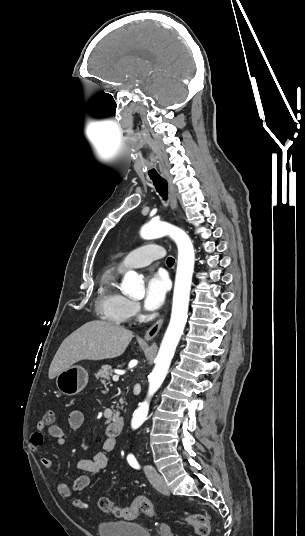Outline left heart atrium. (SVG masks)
<instances>
[{
    "instance_id": "left-heart-atrium-1",
    "label": "left heart atrium",
    "mask_w": 305,
    "mask_h": 536,
    "mask_svg": "<svg viewBox=\"0 0 305 536\" xmlns=\"http://www.w3.org/2000/svg\"><path fill=\"white\" fill-rule=\"evenodd\" d=\"M167 281L160 273L150 274L146 279L144 306L147 310H156L164 302Z\"/></svg>"
}]
</instances>
